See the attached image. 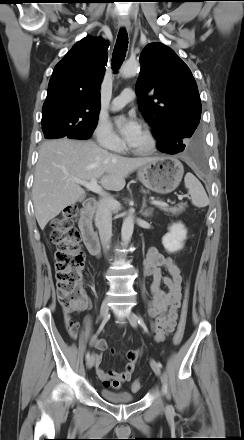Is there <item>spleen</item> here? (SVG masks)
<instances>
[{"label":"spleen","mask_w":244,"mask_h":440,"mask_svg":"<svg viewBox=\"0 0 244 440\" xmlns=\"http://www.w3.org/2000/svg\"><path fill=\"white\" fill-rule=\"evenodd\" d=\"M184 183L191 195L190 199L194 206L202 208L209 204V199L204 187L192 173L185 175Z\"/></svg>","instance_id":"3e777b00"}]
</instances>
